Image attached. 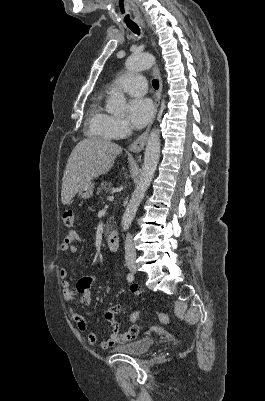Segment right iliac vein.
<instances>
[{
  "label": "right iliac vein",
  "mask_w": 265,
  "mask_h": 401,
  "mask_svg": "<svg viewBox=\"0 0 265 401\" xmlns=\"http://www.w3.org/2000/svg\"><path fill=\"white\" fill-rule=\"evenodd\" d=\"M128 268L131 272L136 273L137 272V266L135 263H129Z\"/></svg>",
  "instance_id": "right-iliac-vein-1"
}]
</instances>
